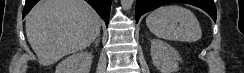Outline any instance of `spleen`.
Masks as SVG:
<instances>
[{
	"label": "spleen",
	"instance_id": "obj_1",
	"mask_svg": "<svg viewBox=\"0 0 244 73\" xmlns=\"http://www.w3.org/2000/svg\"><path fill=\"white\" fill-rule=\"evenodd\" d=\"M148 29L168 41L193 43L201 39L202 31L194 13L179 5H164L146 18Z\"/></svg>",
	"mask_w": 244,
	"mask_h": 73
}]
</instances>
